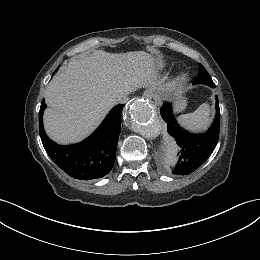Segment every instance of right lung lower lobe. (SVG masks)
I'll list each match as a JSON object with an SVG mask.
<instances>
[{"label": "right lung lower lobe", "mask_w": 260, "mask_h": 260, "mask_svg": "<svg viewBox=\"0 0 260 260\" xmlns=\"http://www.w3.org/2000/svg\"><path fill=\"white\" fill-rule=\"evenodd\" d=\"M123 106L118 104L112 108L101 125L84 141L60 146L44 132L42 118L46 104L43 100L39 111V131L46 152L71 177L91 180L105 176L111 171L116 159Z\"/></svg>", "instance_id": "98d812e1"}]
</instances>
